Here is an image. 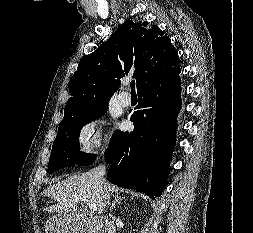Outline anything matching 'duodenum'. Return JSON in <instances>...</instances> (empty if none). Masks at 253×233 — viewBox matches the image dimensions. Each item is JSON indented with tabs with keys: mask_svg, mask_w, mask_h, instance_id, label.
Wrapping results in <instances>:
<instances>
[{
	"mask_svg": "<svg viewBox=\"0 0 253 233\" xmlns=\"http://www.w3.org/2000/svg\"><path fill=\"white\" fill-rule=\"evenodd\" d=\"M86 231L87 233H109L112 231V225L101 218H96L95 222L86 225Z\"/></svg>",
	"mask_w": 253,
	"mask_h": 233,
	"instance_id": "obj_1",
	"label": "duodenum"
}]
</instances>
